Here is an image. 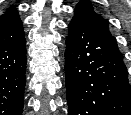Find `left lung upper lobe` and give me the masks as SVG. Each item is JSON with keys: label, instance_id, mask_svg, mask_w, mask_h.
I'll list each match as a JSON object with an SVG mask.
<instances>
[{"label": "left lung upper lobe", "instance_id": "left-lung-upper-lobe-1", "mask_svg": "<svg viewBox=\"0 0 131 115\" xmlns=\"http://www.w3.org/2000/svg\"><path fill=\"white\" fill-rule=\"evenodd\" d=\"M79 18L87 26L92 28L107 41L111 42L117 47L116 39L109 32L108 24L100 14H97L91 3L86 0H81L75 8L74 17ZM118 48V47H117Z\"/></svg>", "mask_w": 131, "mask_h": 115}]
</instances>
